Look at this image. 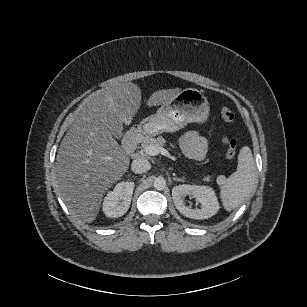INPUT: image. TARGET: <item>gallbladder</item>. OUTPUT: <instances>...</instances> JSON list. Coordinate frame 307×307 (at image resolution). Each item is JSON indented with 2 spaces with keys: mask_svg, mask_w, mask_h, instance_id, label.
I'll return each mask as SVG.
<instances>
[{
  "mask_svg": "<svg viewBox=\"0 0 307 307\" xmlns=\"http://www.w3.org/2000/svg\"><path fill=\"white\" fill-rule=\"evenodd\" d=\"M106 125L109 128L113 139L121 140L123 130L121 119L114 114L108 113Z\"/></svg>",
  "mask_w": 307,
  "mask_h": 307,
  "instance_id": "bac80fb5",
  "label": "gallbladder"
}]
</instances>
